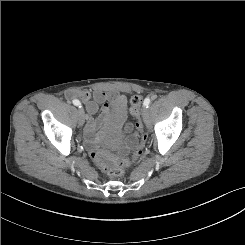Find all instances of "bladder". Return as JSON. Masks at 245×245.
Here are the masks:
<instances>
[{
    "label": "bladder",
    "instance_id": "obj_1",
    "mask_svg": "<svg viewBox=\"0 0 245 245\" xmlns=\"http://www.w3.org/2000/svg\"><path fill=\"white\" fill-rule=\"evenodd\" d=\"M119 113H120V115H122V114H123V110H120V112H119Z\"/></svg>",
    "mask_w": 245,
    "mask_h": 245
}]
</instances>
